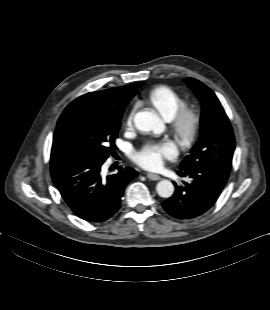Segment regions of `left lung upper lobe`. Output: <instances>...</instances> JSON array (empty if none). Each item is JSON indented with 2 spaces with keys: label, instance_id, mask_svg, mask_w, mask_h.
I'll list each match as a JSON object with an SVG mask.
<instances>
[{
  "label": "left lung upper lobe",
  "instance_id": "5c2ea615",
  "mask_svg": "<svg viewBox=\"0 0 270 310\" xmlns=\"http://www.w3.org/2000/svg\"><path fill=\"white\" fill-rule=\"evenodd\" d=\"M202 104L201 133L197 144L180 165V169L203 167L229 174L235 140L232 127L214 92L202 82L187 78Z\"/></svg>",
  "mask_w": 270,
  "mask_h": 310
}]
</instances>
